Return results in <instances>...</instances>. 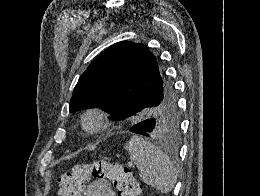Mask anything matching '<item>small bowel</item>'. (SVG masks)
I'll use <instances>...</instances> for the list:
<instances>
[{"label": "small bowel", "instance_id": "small-bowel-1", "mask_svg": "<svg viewBox=\"0 0 260 196\" xmlns=\"http://www.w3.org/2000/svg\"><path fill=\"white\" fill-rule=\"evenodd\" d=\"M85 196H114L110 182L106 179H95L84 190Z\"/></svg>", "mask_w": 260, "mask_h": 196}]
</instances>
